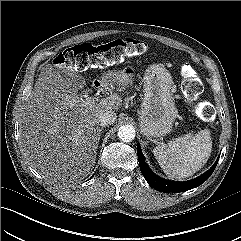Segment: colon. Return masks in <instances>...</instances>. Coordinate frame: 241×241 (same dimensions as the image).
<instances>
[{
	"label": "colon",
	"instance_id": "1",
	"mask_svg": "<svg viewBox=\"0 0 241 241\" xmlns=\"http://www.w3.org/2000/svg\"><path fill=\"white\" fill-rule=\"evenodd\" d=\"M146 44L135 39H117L102 45L89 43L73 46L61 52L55 62L66 71H83L88 68L107 66L126 56H136L146 51ZM182 91L186 99L194 104V110L201 118L210 120L213 109L210 105L198 102L203 85L192 66L182 67Z\"/></svg>",
	"mask_w": 241,
	"mask_h": 241
}]
</instances>
